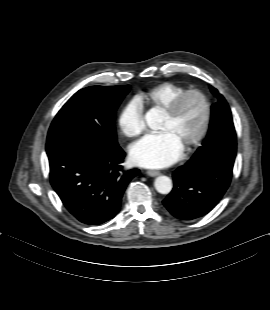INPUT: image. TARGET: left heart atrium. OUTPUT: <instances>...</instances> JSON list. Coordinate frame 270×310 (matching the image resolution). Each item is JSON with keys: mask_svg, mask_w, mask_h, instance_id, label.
<instances>
[{"mask_svg": "<svg viewBox=\"0 0 270 310\" xmlns=\"http://www.w3.org/2000/svg\"><path fill=\"white\" fill-rule=\"evenodd\" d=\"M183 149L167 132L150 134L136 143L129 150L130 161L144 168H162L177 161Z\"/></svg>", "mask_w": 270, "mask_h": 310, "instance_id": "left-heart-atrium-1", "label": "left heart atrium"}]
</instances>
